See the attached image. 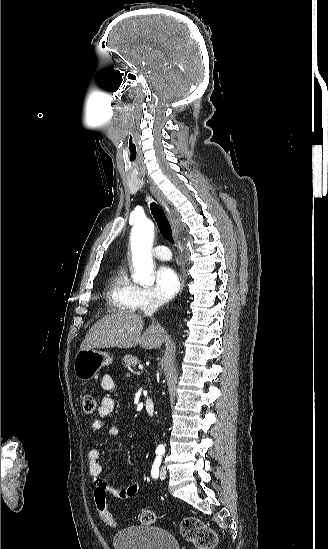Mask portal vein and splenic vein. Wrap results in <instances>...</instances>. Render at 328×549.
I'll return each instance as SVG.
<instances>
[{
    "instance_id": "portal-vein-and-splenic-vein-1",
    "label": "portal vein and splenic vein",
    "mask_w": 328,
    "mask_h": 549,
    "mask_svg": "<svg viewBox=\"0 0 328 549\" xmlns=\"http://www.w3.org/2000/svg\"><path fill=\"white\" fill-rule=\"evenodd\" d=\"M139 369H143V365H139Z\"/></svg>"
}]
</instances>
